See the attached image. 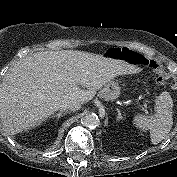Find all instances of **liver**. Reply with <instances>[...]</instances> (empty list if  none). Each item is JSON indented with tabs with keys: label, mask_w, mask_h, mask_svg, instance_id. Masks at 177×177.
I'll list each match as a JSON object with an SVG mask.
<instances>
[{
	"label": "liver",
	"mask_w": 177,
	"mask_h": 177,
	"mask_svg": "<svg viewBox=\"0 0 177 177\" xmlns=\"http://www.w3.org/2000/svg\"><path fill=\"white\" fill-rule=\"evenodd\" d=\"M134 72L122 60L84 51L27 55L15 62L0 85L2 130L5 135L27 131L58 111L62 103L84 104L115 77Z\"/></svg>",
	"instance_id": "obj_1"
}]
</instances>
